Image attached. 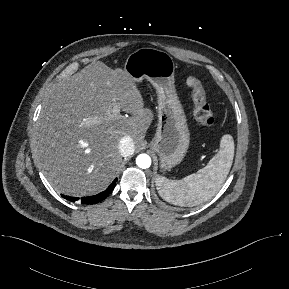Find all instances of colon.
Segmentation results:
<instances>
[{"mask_svg":"<svg viewBox=\"0 0 289 289\" xmlns=\"http://www.w3.org/2000/svg\"><path fill=\"white\" fill-rule=\"evenodd\" d=\"M187 85L191 91L194 116L197 124L202 128L211 127L214 123V116L201 81L195 76H189L187 78Z\"/></svg>","mask_w":289,"mask_h":289,"instance_id":"obj_1","label":"colon"}]
</instances>
